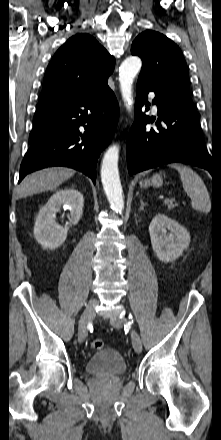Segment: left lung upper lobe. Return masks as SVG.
Here are the masks:
<instances>
[{
    "label": "left lung upper lobe",
    "mask_w": 221,
    "mask_h": 440,
    "mask_svg": "<svg viewBox=\"0 0 221 440\" xmlns=\"http://www.w3.org/2000/svg\"><path fill=\"white\" fill-rule=\"evenodd\" d=\"M131 53L143 62L138 80L155 90L194 106L189 95L188 69L180 48L165 35L147 30L139 34Z\"/></svg>",
    "instance_id": "left-lung-upper-lobe-1"
}]
</instances>
